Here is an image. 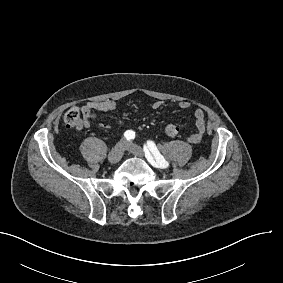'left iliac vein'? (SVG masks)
I'll use <instances>...</instances> for the list:
<instances>
[{"instance_id":"1","label":"left iliac vein","mask_w":283,"mask_h":283,"mask_svg":"<svg viewBox=\"0 0 283 283\" xmlns=\"http://www.w3.org/2000/svg\"><path fill=\"white\" fill-rule=\"evenodd\" d=\"M124 150H127L130 153H132L133 155L138 156V157L144 156V150L140 146L133 144L131 142L125 143ZM153 166L160 169V167H158V165H156V161H155V164Z\"/></svg>"}]
</instances>
